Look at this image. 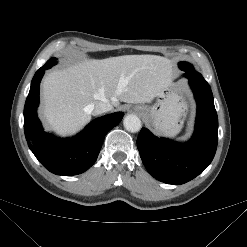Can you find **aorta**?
Segmentation results:
<instances>
[{
    "label": "aorta",
    "mask_w": 247,
    "mask_h": 247,
    "mask_svg": "<svg viewBox=\"0 0 247 247\" xmlns=\"http://www.w3.org/2000/svg\"><path fill=\"white\" fill-rule=\"evenodd\" d=\"M125 129L131 133H136L141 129V120L134 114L127 115L123 120Z\"/></svg>",
    "instance_id": "aorta-1"
}]
</instances>
